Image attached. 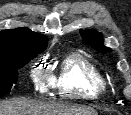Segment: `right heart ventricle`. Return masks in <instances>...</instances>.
Wrapping results in <instances>:
<instances>
[{
	"label": "right heart ventricle",
	"instance_id": "right-heart-ventricle-1",
	"mask_svg": "<svg viewBox=\"0 0 131 115\" xmlns=\"http://www.w3.org/2000/svg\"><path fill=\"white\" fill-rule=\"evenodd\" d=\"M53 87L62 99L96 101L108 92V84L98 67L77 52L59 63Z\"/></svg>",
	"mask_w": 131,
	"mask_h": 115
}]
</instances>
